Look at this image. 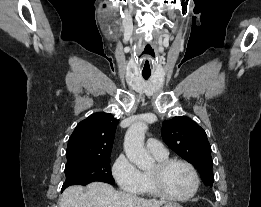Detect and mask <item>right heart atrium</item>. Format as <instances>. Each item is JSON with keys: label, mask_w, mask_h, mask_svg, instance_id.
I'll list each match as a JSON object with an SVG mask.
<instances>
[{"label": "right heart atrium", "mask_w": 261, "mask_h": 207, "mask_svg": "<svg viewBox=\"0 0 261 207\" xmlns=\"http://www.w3.org/2000/svg\"><path fill=\"white\" fill-rule=\"evenodd\" d=\"M112 175L121 190L141 194L145 188L144 174L124 154H120L112 166Z\"/></svg>", "instance_id": "obj_1"}]
</instances>
